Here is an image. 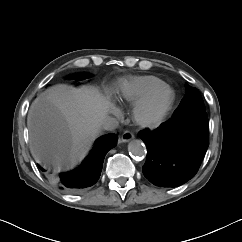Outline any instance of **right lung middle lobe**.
Here are the masks:
<instances>
[{
    "instance_id": "obj_1",
    "label": "right lung middle lobe",
    "mask_w": 242,
    "mask_h": 242,
    "mask_svg": "<svg viewBox=\"0 0 242 242\" xmlns=\"http://www.w3.org/2000/svg\"><path fill=\"white\" fill-rule=\"evenodd\" d=\"M91 76L92 75H90L88 73H79V74L72 75L71 78L74 79V80H84V79H87Z\"/></svg>"
}]
</instances>
